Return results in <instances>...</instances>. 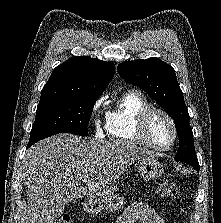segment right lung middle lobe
<instances>
[{
	"label": "right lung middle lobe",
	"instance_id": "dd1d6c3e",
	"mask_svg": "<svg viewBox=\"0 0 221 223\" xmlns=\"http://www.w3.org/2000/svg\"><path fill=\"white\" fill-rule=\"evenodd\" d=\"M97 99L76 97L40 101L28 144L62 132L88 136L87 126Z\"/></svg>",
	"mask_w": 221,
	"mask_h": 223
}]
</instances>
